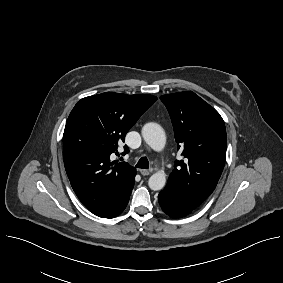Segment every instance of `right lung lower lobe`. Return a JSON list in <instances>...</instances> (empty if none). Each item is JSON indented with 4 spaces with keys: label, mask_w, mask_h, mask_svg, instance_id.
<instances>
[{
    "label": "right lung lower lobe",
    "mask_w": 283,
    "mask_h": 283,
    "mask_svg": "<svg viewBox=\"0 0 283 283\" xmlns=\"http://www.w3.org/2000/svg\"><path fill=\"white\" fill-rule=\"evenodd\" d=\"M129 197H130V195L125 199V201L114 212H112L111 214H109V215H107L103 218H114V217L118 216L127 206L128 201H129Z\"/></svg>",
    "instance_id": "obj_1"
}]
</instances>
